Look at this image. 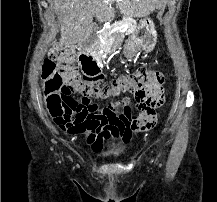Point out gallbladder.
Wrapping results in <instances>:
<instances>
[{"label":"gallbladder","instance_id":"1","mask_svg":"<svg viewBox=\"0 0 217 202\" xmlns=\"http://www.w3.org/2000/svg\"><path fill=\"white\" fill-rule=\"evenodd\" d=\"M98 34L96 30H93L92 34H90L89 38H87V43L85 42L83 45L86 47L88 44H93L95 40H97Z\"/></svg>","mask_w":217,"mask_h":202}]
</instances>
